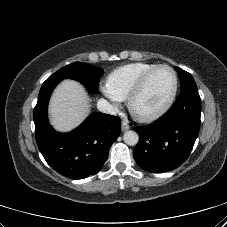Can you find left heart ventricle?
Segmentation results:
<instances>
[{
	"instance_id": "1",
	"label": "left heart ventricle",
	"mask_w": 227,
	"mask_h": 227,
	"mask_svg": "<svg viewBox=\"0 0 227 227\" xmlns=\"http://www.w3.org/2000/svg\"><path fill=\"white\" fill-rule=\"evenodd\" d=\"M174 87L171 70L162 68L156 71L147 82L144 90L135 101V109L141 114H149L161 108Z\"/></svg>"
}]
</instances>
